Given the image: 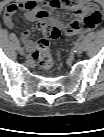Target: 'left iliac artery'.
Instances as JSON below:
<instances>
[{"label":"left iliac artery","mask_w":104,"mask_h":137,"mask_svg":"<svg viewBox=\"0 0 104 137\" xmlns=\"http://www.w3.org/2000/svg\"><path fill=\"white\" fill-rule=\"evenodd\" d=\"M75 42H76V43H77V42H80V43H81V42H82V39H81V38H76V39H75Z\"/></svg>","instance_id":"44dca946"}]
</instances>
